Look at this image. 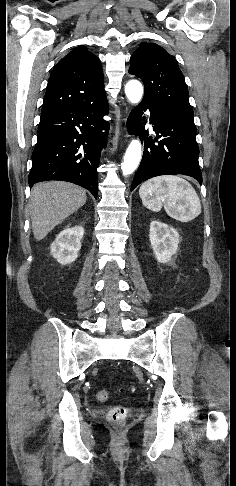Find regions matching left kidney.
Instances as JSON below:
<instances>
[{
	"mask_svg": "<svg viewBox=\"0 0 236 486\" xmlns=\"http://www.w3.org/2000/svg\"><path fill=\"white\" fill-rule=\"evenodd\" d=\"M149 239L158 262L168 263L172 260L180 242L179 233L174 228L160 221H152Z\"/></svg>",
	"mask_w": 236,
	"mask_h": 486,
	"instance_id": "5707ae66",
	"label": "left kidney"
}]
</instances>
